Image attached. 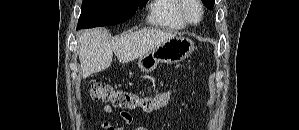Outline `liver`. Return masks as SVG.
Returning <instances> with one entry per match:
<instances>
[{"label":"liver","instance_id":"1","mask_svg":"<svg viewBox=\"0 0 299 130\" xmlns=\"http://www.w3.org/2000/svg\"><path fill=\"white\" fill-rule=\"evenodd\" d=\"M176 36L172 31L156 28H144L125 33L115 40H110V33L105 28L81 31L78 36L79 60L83 77H88L107 69L115 54L121 63L133 61Z\"/></svg>","mask_w":299,"mask_h":130}]
</instances>
